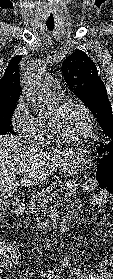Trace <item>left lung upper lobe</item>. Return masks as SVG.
Listing matches in <instances>:
<instances>
[{
  "instance_id": "left-lung-upper-lobe-1",
  "label": "left lung upper lobe",
  "mask_w": 113,
  "mask_h": 279,
  "mask_svg": "<svg viewBox=\"0 0 113 279\" xmlns=\"http://www.w3.org/2000/svg\"><path fill=\"white\" fill-rule=\"evenodd\" d=\"M62 72L68 88L93 113L104 134L113 139L112 108L95 63L85 52L78 50L63 61Z\"/></svg>"
}]
</instances>
